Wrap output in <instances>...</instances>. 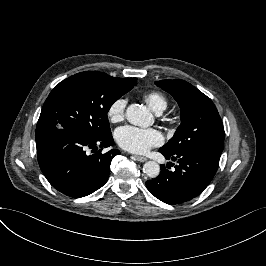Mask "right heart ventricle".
I'll list each match as a JSON object with an SVG mask.
<instances>
[{
  "instance_id": "1",
  "label": "right heart ventricle",
  "mask_w": 266,
  "mask_h": 266,
  "mask_svg": "<svg viewBox=\"0 0 266 266\" xmlns=\"http://www.w3.org/2000/svg\"><path fill=\"white\" fill-rule=\"evenodd\" d=\"M143 98L157 113H161L168 108L169 103L167 97L158 90L147 91L143 95Z\"/></svg>"
}]
</instances>
